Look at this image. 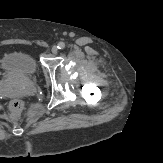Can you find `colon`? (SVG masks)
Masks as SVG:
<instances>
[{
    "mask_svg": "<svg viewBox=\"0 0 163 163\" xmlns=\"http://www.w3.org/2000/svg\"><path fill=\"white\" fill-rule=\"evenodd\" d=\"M22 102L20 100H13L10 103V108L14 113H19L22 110Z\"/></svg>",
    "mask_w": 163,
    "mask_h": 163,
    "instance_id": "1",
    "label": "colon"
}]
</instances>
